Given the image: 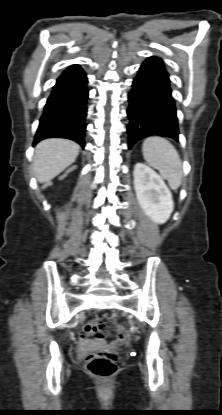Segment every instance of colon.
Here are the masks:
<instances>
[{
	"mask_svg": "<svg viewBox=\"0 0 222 415\" xmlns=\"http://www.w3.org/2000/svg\"><path fill=\"white\" fill-rule=\"evenodd\" d=\"M83 337L102 338L109 335L104 323L98 320H91L83 324L81 329ZM115 335L118 339L125 337L122 328L117 327ZM118 357L116 354L107 352L89 353L85 359V367L87 371L98 378L108 379L112 377L117 369Z\"/></svg>",
	"mask_w": 222,
	"mask_h": 415,
	"instance_id": "1",
	"label": "colon"
}]
</instances>
